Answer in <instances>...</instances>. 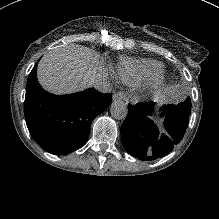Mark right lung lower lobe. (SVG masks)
<instances>
[{"mask_svg":"<svg viewBox=\"0 0 219 219\" xmlns=\"http://www.w3.org/2000/svg\"><path fill=\"white\" fill-rule=\"evenodd\" d=\"M31 71L24 102L27 127L33 139L47 152L67 154L87 140L93 119L111 103L112 94L87 89L57 96L44 91Z\"/></svg>","mask_w":219,"mask_h":219,"instance_id":"98d812e1","label":"right lung lower lobe"}]
</instances>
